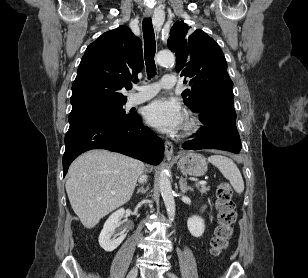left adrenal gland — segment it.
Wrapping results in <instances>:
<instances>
[{
  "instance_id": "1",
  "label": "left adrenal gland",
  "mask_w": 308,
  "mask_h": 278,
  "mask_svg": "<svg viewBox=\"0 0 308 278\" xmlns=\"http://www.w3.org/2000/svg\"><path fill=\"white\" fill-rule=\"evenodd\" d=\"M179 187L182 193H186L187 191H193V188L187 185L186 179L181 177L179 180Z\"/></svg>"
}]
</instances>
